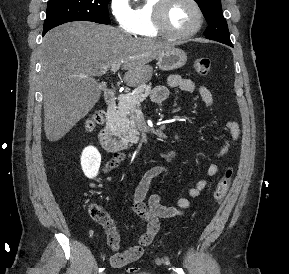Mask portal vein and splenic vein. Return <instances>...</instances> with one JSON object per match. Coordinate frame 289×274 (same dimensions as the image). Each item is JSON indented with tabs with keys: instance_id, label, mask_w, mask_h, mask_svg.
<instances>
[{
	"instance_id": "18ae733b",
	"label": "portal vein and splenic vein",
	"mask_w": 289,
	"mask_h": 274,
	"mask_svg": "<svg viewBox=\"0 0 289 274\" xmlns=\"http://www.w3.org/2000/svg\"><path fill=\"white\" fill-rule=\"evenodd\" d=\"M119 67H120V64H116V63L113 64L111 66V72H113V73L117 72L119 70Z\"/></svg>"
}]
</instances>
